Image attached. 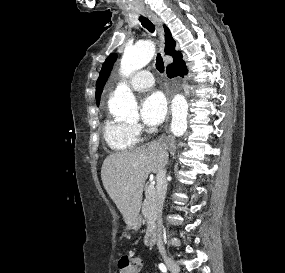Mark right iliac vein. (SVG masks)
<instances>
[{
  "label": "right iliac vein",
  "mask_w": 285,
  "mask_h": 273,
  "mask_svg": "<svg viewBox=\"0 0 285 273\" xmlns=\"http://www.w3.org/2000/svg\"><path fill=\"white\" fill-rule=\"evenodd\" d=\"M163 259L168 267V269L170 271H172L173 273H179L180 272V267L179 265L170 257H168L167 255H163Z\"/></svg>",
  "instance_id": "right-iliac-vein-1"
}]
</instances>
